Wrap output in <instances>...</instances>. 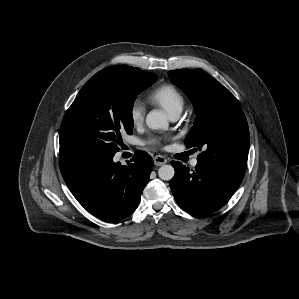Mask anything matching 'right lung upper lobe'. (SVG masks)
<instances>
[{"label":"right lung upper lobe","instance_id":"1","mask_svg":"<svg viewBox=\"0 0 299 299\" xmlns=\"http://www.w3.org/2000/svg\"><path fill=\"white\" fill-rule=\"evenodd\" d=\"M120 67L124 68L128 72H130L136 76H139V77H150L152 75H155L153 73L146 72V71L140 70L138 68L130 67V66H120Z\"/></svg>","mask_w":299,"mask_h":299}]
</instances>
